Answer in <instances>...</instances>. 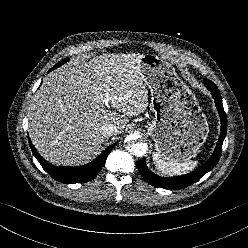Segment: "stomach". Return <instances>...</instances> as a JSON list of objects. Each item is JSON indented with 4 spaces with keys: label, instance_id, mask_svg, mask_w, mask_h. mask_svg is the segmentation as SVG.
<instances>
[{
    "label": "stomach",
    "instance_id": "1",
    "mask_svg": "<svg viewBox=\"0 0 248 248\" xmlns=\"http://www.w3.org/2000/svg\"><path fill=\"white\" fill-rule=\"evenodd\" d=\"M141 75L151 92L154 119L147 132L155 142V154L170 162H185L199 151L209 125L195 94L171 64L154 54H143Z\"/></svg>",
    "mask_w": 248,
    "mask_h": 248
}]
</instances>
